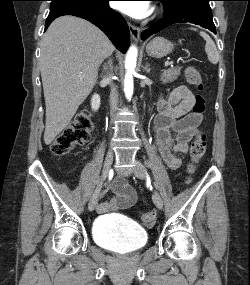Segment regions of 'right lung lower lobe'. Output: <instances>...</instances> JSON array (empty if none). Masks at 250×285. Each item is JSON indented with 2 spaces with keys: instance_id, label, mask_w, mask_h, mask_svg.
<instances>
[{
  "instance_id": "obj_1",
  "label": "right lung lower lobe",
  "mask_w": 250,
  "mask_h": 285,
  "mask_svg": "<svg viewBox=\"0 0 250 285\" xmlns=\"http://www.w3.org/2000/svg\"><path fill=\"white\" fill-rule=\"evenodd\" d=\"M110 0H99L91 5L72 6L49 13L45 30L57 17L73 15L84 18L99 27L113 42L115 47L125 53L130 44V33L126 21L119 13L109 7Z\"/></svg>"
}]
</instances>
